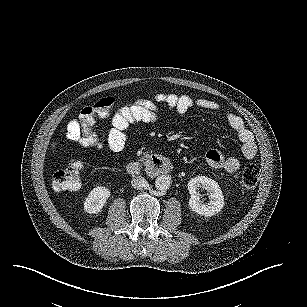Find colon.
I'll use <instances>...</instances> for the list:
<instances>
[{
  "label": "colon",
  "mask_w": 307,
  "mask_h": 307,
  "mask_svg": "<svg viewBox=\"0 0 307 307\" xmlns=\"http://www.w3.org/2000/svg\"><path fill=\"white\" fill-rule=\"evenodd\" d=\"M116 103L114 97L100 99L93 106L84 108L80 112V143L86 147L99 148L102 141L93 130L97 118L107 116ZM83 165L80 161H72L68 166L55 173L52 186L56 191H73L81 185ZM260 171L254 164H248L242 171L241 182L246 188L257 185Z\"/></svg>",
  "instance_id": "obj_1"
}]
</instances>
